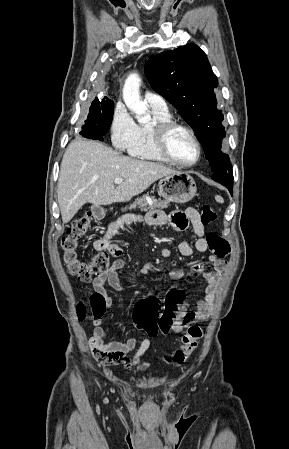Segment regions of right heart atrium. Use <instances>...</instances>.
Returning <instances> with one entry per match:
<instances>
[{"label": "right heart atrium", "mask_w": 289, "mask_h": 449, "mask_svg": "<svg viewBox=\"0 0 289 449\" xmlns=\"http://www.w3.org/2000/svg\"><path fill=\"white\" fill-rule=\"evenodd\" d=\"M110 132L112 143L121 150L130 151L138 140V125L122 103L113 111Z\"/></svg>", "instance_id": "obj_1"}]
</instances>
